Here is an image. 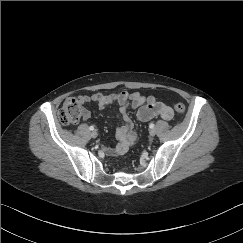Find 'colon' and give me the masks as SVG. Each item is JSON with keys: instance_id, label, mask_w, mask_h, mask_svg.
<instances>
[{"instance_id": "colon-1", "label": "colon", "mask_w": 243, "mask_h": 243, "mask_svg": "<svg viewBox=\"0 0 243 243\" xmlns=\"http://www.w3.org/2000/svg\"><path fill=\"white\" fill-rule=\"evenodd\" d=\"M174 110L178 114H183L186 107L183 103L178 102L173 105ZM83 114L82 101L80 98H67L57 113L59 122L64 125L75 124L79 121Z\"/></svg>"}]
</instances>
